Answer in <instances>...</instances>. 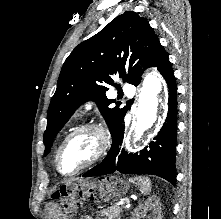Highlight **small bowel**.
Segmentation results:
<instances>
[{
	"mask_svg": "<svg viewBox=\"0 0 221 219\" xmlns=\"http://www.w3.org/2000/svg\"><path fill=\"white\" fill-rule=\"evenodd\" d=\"M81 219H92V218L87 217V216H84V217H82Z\"/></svg>",
	"mask_w": 221,
	"mask_h": 219,
	"instance_id": "small-bowel-1",
	"label": "small bowel"
}]
</instances>
